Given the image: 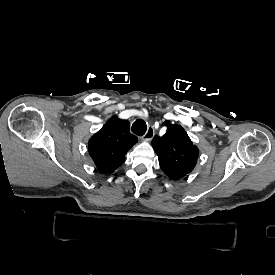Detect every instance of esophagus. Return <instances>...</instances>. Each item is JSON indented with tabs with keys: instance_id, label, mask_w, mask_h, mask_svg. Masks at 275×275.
I'll return each instance as SVG.
<instances>
[{
	"instance_id": "34e87169",
	"label": "esophagus",
	"mask_w": 275,
	"mask_h": 275,
	"mask_svg": "<svg viewBox=\"0 0 275 275\" xmlns=\"http://www.w3.org/2000/svg\"><path fill=\"white\" fill-rule=\"evenodd\" d=\"M154 137V127L151 125L148 127L147 132L142 137L144 141H150Z\"/></svg>"
}]
</instances>
